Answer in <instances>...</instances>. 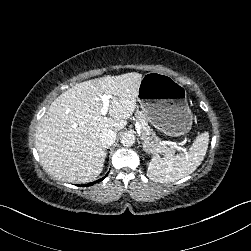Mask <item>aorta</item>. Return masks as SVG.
<instances>
[{
	"instance_id": "obj_1",
	"label": "aorta",
	"mask_w": 251,
	"mask_h": 251,
	"mask_svg": "<svg viewBox=\"0 0 251 251\" xmlns=\"http://www.w3.org/2000/svg\"><path fill=\"white\" fill-rule=\"evenodd\" d=\"M120 142L125 146H132L135 142V137L131 133H123L121 135Z\"/></svg>"
}]
</instances>
